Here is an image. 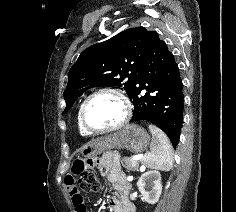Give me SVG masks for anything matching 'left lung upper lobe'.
Wrapping results in <instances>:
<instances>
[{
  "mask_svg": "<svg viewBox=\"0 0 236 212\" xmlns=\"http://www.w3.org/2000/svg\"><path fill=\"white\" fill-rule=\"evenodd\" d=\"M151 34L144 27L130 28L85 49L68 74L64 113L70 110L82 93L92 87L124 88L130 96L136 86L138 70Z\"/></svg>",
  "mask_w": 236,
  "mask_h": 212,
  "instance_id": "1",
  "label": "left lung upper lobe"
}]
</instances>
